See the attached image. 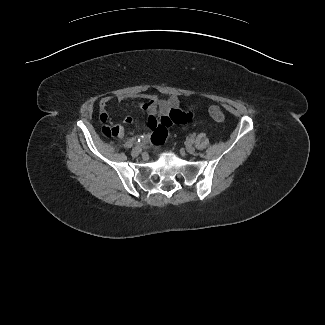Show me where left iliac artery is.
Wrapping results in <instances>:
<instances>
[{
	"mask_svg": "<svg viewBox=\"0 0 325 325\" xmlns=\"http://www.w3.org/2000/svg\"><path fill=\"white\" fill-rule=\"evenodd\" d=\"M189 142H190V143H194V139H193V138H190V139H189Z\"/></svg>",
	"mask_w": 325,
	"mask_h": 325,
	"instance_id": "obj_1",
	"label": "left iliac artery"
}]
</instances>
